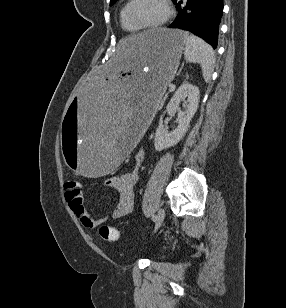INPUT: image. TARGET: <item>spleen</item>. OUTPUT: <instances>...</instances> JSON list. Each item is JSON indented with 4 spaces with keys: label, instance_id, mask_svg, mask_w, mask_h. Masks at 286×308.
<instances>
[{
    "label": "spleen",
    "instance_id": "1",
    "mask_svg": "<svg viewBox=\"0 0 286 308\" xmlns=\"http://www.w3.org/2000/svg\"><path fill=\"white\" fill-rule=\"evenodd\" d=\"M184 57L187 62L198 63L204 80H210L215 65V54L208 43L193 34H187Z\"/></svg>",
    "mask_w": 286,
    "mask_h": 308
}]
</instances>
